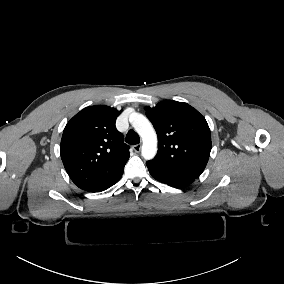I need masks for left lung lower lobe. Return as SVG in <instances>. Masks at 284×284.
Returning <instances> with one entry per match:
<instances>
[{
  "instance_id": "obj_1",
  "label": "left lung lower lobe",
  "mask_w": 284,
  "mask_h": 284,
  "mask_svg": "<svg viewBox=\"0 0 284 284\" xmlns=\"http://www.w3.org/2000/svg\"><path fill=\"white\" fill-rule=\"evenodd\" d=\"M147 167L153 178H155L161 183H165L172 187L181 188V187L191 184L195 180L194 178H191V177L176 175V174H172V173L160 170L158 168L153 167L152 165H149L148 163H147Z\"/></svg>"
}]
</instances>
